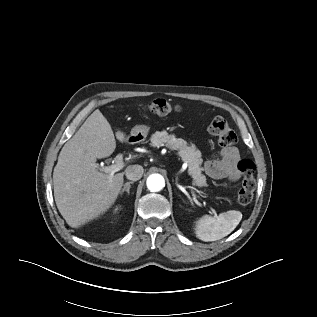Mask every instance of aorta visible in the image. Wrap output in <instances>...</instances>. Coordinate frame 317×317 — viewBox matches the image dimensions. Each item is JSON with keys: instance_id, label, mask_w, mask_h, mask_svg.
Here are the masks:
<instances>
[{"instance_id": "obj_1", "label": "aorta", "mask_w": 317, "mask_h": 317, "mask_svg": "<svg viewBox=\"0 0 317 317\" xmlns=\"http://www.w3.org/2000/svg\"><path fill=\"white\" fill-rule=\"evenodd\" d=\"M146 185L151 192H158L165 187V180L160 174H151L147 178Z\"/></svg>"}]
</instances>
